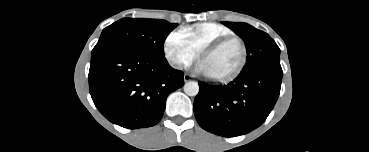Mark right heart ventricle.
I'll list each match as a JSON object with an SVG mask.
<instances>
[{"mask_svg": "<svg viewBox=\"0 0 369 152\" xmlns=\"http://www.w3.org/2000/svg\"><path fill=\"white\" fill-rule=\"evenodd\" d=\"M181 31L191 47L198 53L212 41L233 34L229 28L215 22L196 23L182 28Z\"/></svg>", "mask_w": 369, "mask_h": 152, "instance_id": "e07e8e85", "label": "right heart ventricle"}]
</instances>
